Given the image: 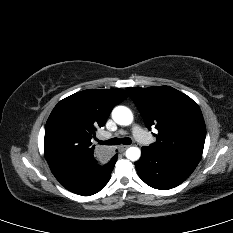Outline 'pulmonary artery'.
Returning <instances> with one entry per match:
<instances>
[{"mask_svg": "<svg viewBox=\"0 0 233 233\" xmlns=\"http://www.w3.org/2000/svg\"><path fill=\"white\" fill-rule=\"evenodd\" d=\"M133 135L135 136V138L140 141V142H146L147 141V136L146 134L143 132V130L138 126V125H135L133 127ZM103 137L104 138H109L111 137V134L110 133H105L103 134Z\"/></svg>", "mask_w": 233, "mask_h": 233, "instance_id": "pulmonary-artery-1", "label": "pulmonary artery"}]
</instances>
